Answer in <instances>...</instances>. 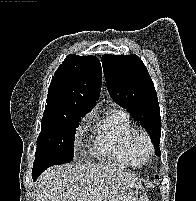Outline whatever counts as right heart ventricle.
Listing matches in <instances>:
<instances>
[{
  "label": "right heart ventricle",
  "instance_id": "obj_1",
  "mask_svg": "<svg viewBox=\"0 0 196 201\" xmlns=\"http://www.w3.org/2000/svg\"><path fill=\"white\" fill-rule=\"evenodd\" d=\"M129 114L112 109L96 121L91 134V152L98 159L120 168L131 166L126 149L127 137L134 128Z\"/></svg>",
  "mask_w": 196,
  "mask_h": 201
}]
</instances>
